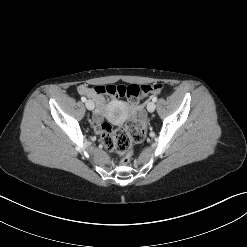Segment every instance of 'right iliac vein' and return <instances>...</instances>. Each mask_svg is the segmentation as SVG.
<instances>
[{"label": "right iliac vein", "instance_id": "obj_1", "mask_svg": "<svg viewBox=\"0 0 247 247\" xmlns=\"http://www.w3.org/2000/svg\"><path fill=\"white\" fill-rule=\"evenodd\" d=\"M85 105L88 110H93L95 108V104L92 100H87Z\"/></svg>", "mask_w": 247, "mask_h": 247}]
</instances>
